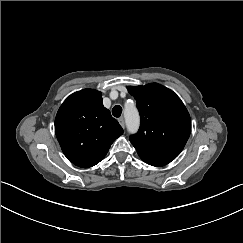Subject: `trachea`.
Wrapping results in <instances>:
<instances>
[{"mask_svg":"<svg viewBox=\"0 0 243 243\" xmlns=\"http://www.w3.org/2000/svg\"><path fill=\"white\" fill-rule=\"evenodd\" d=\"M121 113H122V107L120 105L114 106V108L112 109L113 116L118 118L121 116Z\"/></svg>","mask_w":243,"mask_h":243,"instance_id":"trachea-1","label":"trachea"}]
</instances>
